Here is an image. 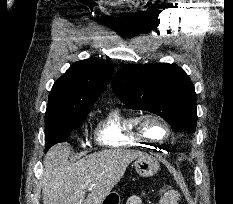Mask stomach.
<instances>
[{
	"label": "stomach",
	"instance_id": "0dacf381",
	"mask_svg": "<svg viewBox=\"0 0 233 204\" xmlns=\"http://www.w3.org/2000/svg\"><path fill=\"white\" fill-rule=\"evenodd\" d=\"M134 165L136 172L141 177H151L155 175L159 170V164L157 160L149 155L139 156ZM103 203L104 201L102 202V204Z\"/></svg>",
	"mask_w": 233,
	"mask_h": 204
}]
</instances>
